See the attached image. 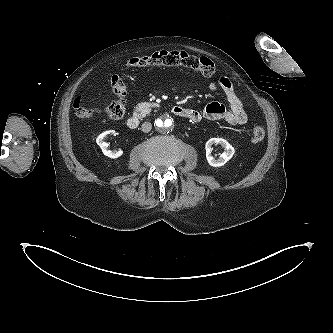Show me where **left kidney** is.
<instances>
[{
	"mask_svg": "<svg viewBox=\"0 0 333 333\" xmlns=\"http://www.w3.org/2000/svg\"><path fill=\"white\" fill-rule=\"evenodd\" d=\"M214 144H220L225 150L218 159H215L211 155L212 146ZM205 149H206L207 162L212 167H220L225 165L227 161H229L235 153L234 147L223 138L209 139L206 142Z\"/></svg>",
	"mask_w": 333,
	"mask_h": 333,
	"instance_id": "5707ae66",
	"label": "left kidney"
}]
</instances>
